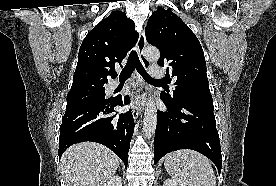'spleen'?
<instances>
[{
  "instance_id": "spleen-1",
  "label": "spleen",
  "mask_w": 276,
  "mask_h": 186,
  "mask_svg": "<svg viewBox=\"0 0 276 186\" xmlns=\"http://www.w3.org/2000/svg\"><path fill=\"white\" fill-rule=\"evenodd\" d=\"M164 166L169 175L188 186H216L210 161L196 151L184 149L169 153Z\"/></svg>"
}]
</instances>
